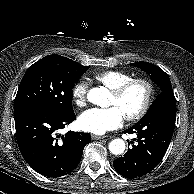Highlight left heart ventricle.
<instances>
[{
	"label": "left heart ventricle",
	"instance_id": "obj_1",
	"mask_svg": "<svg viewBox=\"0 0 194 194\" xmlns=\"http://www.w3.org/2000/svg\"><path fill=\"white\" fill-rule=\"evenodd\" d=\"M146 91L143 85L135 84L120 98L111 94L109 105L119 109L123 116L135 113L143 104Z\"/></svg>",
	"mask_w": 194,
	"mask_h": 194
}]
</instances>
